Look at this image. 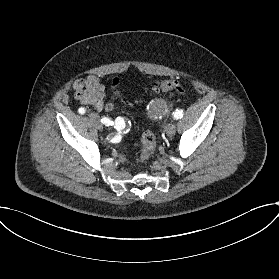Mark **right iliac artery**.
<instances>
[{"label": "right iliac artery", "instance_id": "1", "mask_svg": "<svg viewBox=\"0 0 279 279\" xmlns=\"http://www.w3.org/2000/svg\"><path fill=\"white\" fill-rule=\"evenodd\" d=\"M79 113L81 114H84L85 113V109L84 108H79ZM125 118L123 116H120L118 119H113L112 121L109 119V118H102L101 119V122L103 124H105L106 126H109V125H113L115 126V128L118 130V131H122L126 128V125H125Z\"/></svg>", "mask_w": 279, "mask_h": 279}]
</instances>
